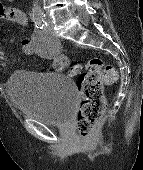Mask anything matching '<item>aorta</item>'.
I'll use <instances>...</instances> for the list:
<instances>
[{"label": "aorta", "mask_w": 143, "mask_h": 170, "mask_svg": "<svg viewBox=\"0 0 143 170\" xmlns=\"http://www.w3.org/2000/svg\"><path fill=\"white\" fill-rule=\"evenodd\" d=\"M33 16H42V10L37 4H34L32 7Z\"/></svg>", "instance_id": "1"}]
</instances>
